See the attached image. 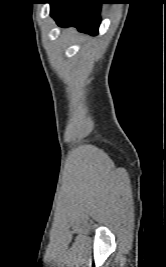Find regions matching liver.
I'll return each instance as SVG.
<instances>
[{"instance_id":"1","label":"liver","mask_w":166,"mask_h":267,"mask_svg":"<svg viewBox=\"0 0 166 267\" xmlns=\"http://www.w3.org/2000/svg\"><path fill=\"white\" fill-rule=\"evenodd\" d=\"M70 32H71V33H75V31H74V30H71Z\"/></svg>"}]
</instances>
